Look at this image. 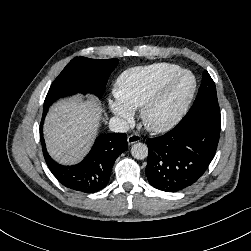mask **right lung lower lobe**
I'll return each instance as SVG.
<instances>
[{"mask_svg": "<svg viewBox=\"0 0 251 251\" xmlns=\"http://www.w3.org/2000/svg\"><path fill=\"white\" fill-rule=\"evenodd\" d=\"M47 111L48 109L43 110L40 138L43 155L50 171L63 186L73 191L94 193L103 189L109 182L115 160L128 149L127 135L125 133L102 134L79 164L63 166L55 162L46 150L42 129Z\"/></svg>", "mask_w": 251, "mask_h": 251, "instance_id": "98d812e1", "label": "right lung lower lobe"}]
</instances>
